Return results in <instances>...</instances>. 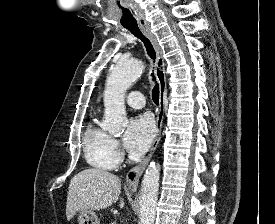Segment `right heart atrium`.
<instances>
[{
  "instance_id": "obj_1",
  "label": "right heart atrium",
  "mask_w": 275,
  "mask_h": 224,
  "mask_svg": "<svg viewBox=\"0 0 275 224\" xmlns=\"http://www.w3.org/2000/svg\"><path fill=\"white\" fill-rule=\"evenodd\" d=\"M113 145H114V148L115 150L117 151L119 149V143L117 140L113 139Z\"/></svg>"
}]
</instances>
